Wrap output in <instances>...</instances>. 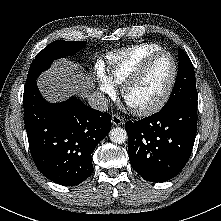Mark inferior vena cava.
<instances>
[{"instance_id":"602c4592","label":"inferior vena cava","mask_w":221,"mask_h":221,"mask_svg":"<svg viewBox=\"0 0 221 221\" xmlns=\"http://www.w3.org/2000/svg\"><path fill=\"white\" fill-rule=\"evenodd\" d=\"M89 105L97 110L106 111L109 107V101L104 96V94L99 92H94L93 94L88 96Z\"/></svg>"}]
</instances>
